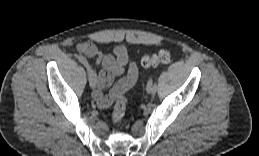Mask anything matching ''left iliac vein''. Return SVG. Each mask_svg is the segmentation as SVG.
<instances>
[{"label": "left iliac vein", "mask_w": 259, "mask_h": 156, "mask_svg": "<svg viewBox=\"0 0 259 156\" xmlns=\"http://www.w3.org/2000/svg\"><path fill=\"white\" fill-rule=\"evenodd\" d=\"M152 85H154V84H152ZM152 85L151 86H147V92L150 93V94H154L153 90H152Z\"/></svg>", "instance_id": "obj_1"}]
</instances>
